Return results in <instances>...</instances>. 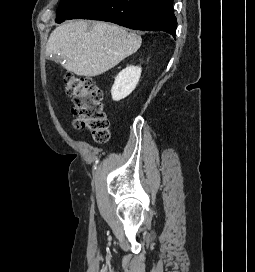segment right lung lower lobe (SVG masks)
<instances>
[{
  "label": "right lung lower lobe",
  "instance_id": "98d812e1",
  "mask_svg": "<svg viewBox=\"0 0 255 272\" xmlns=\"http://www.w3.org/2000/svg\"><path fill=\"white\" fill-rule=\"evenodd\" d=\"M91 19L175 36L173 0H90L66 19Z\"/></svg>",
  "mask_w": 255,
  "mask_h": 272
}]
</instances>
